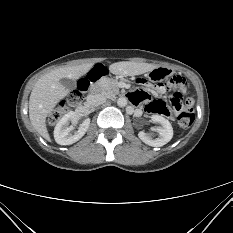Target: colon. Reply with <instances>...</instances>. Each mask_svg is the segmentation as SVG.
<instances>
[{
	"label": "colon",
	"mask_w": 233,
	"mask_h": 233,
	"mask_svg": "<svg viewBox=\"0 0 233 233\" xmlns=\"http://www.w3.org/2000/svg\"><path fill=\"white\" fill-rule=\"evenodd\" d=\"M171 85L178 88L171 97L170 103H166L162 100H155L149 103V109L153 113H160L165 115H171L174 111L178 112L176 116V124L182 129L189 128L194 121L193 105L194 101L191 98H184L180 87H186L185 79L181 76H173L169 79L164 86ZM88 84H84L83 80L80 81L76 90L72 91L67 99L63 101L59 108L55 109L48 117L49 124L53 125L57 123L62 115L68 111L71 107L78 105L82 99L83 94L87 90Z\"/></svg>",
	"instance_id": "5ec220e1"
}]
</instances>
